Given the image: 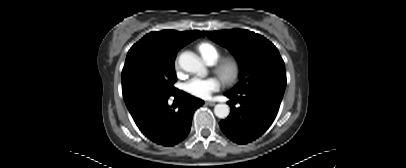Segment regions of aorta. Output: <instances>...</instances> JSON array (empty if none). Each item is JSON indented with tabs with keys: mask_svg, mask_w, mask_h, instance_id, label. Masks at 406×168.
<instances>
[{
	"mask_svg": "<svg viewBox=\"0 0 406 168\" xmlns=\"http://www.w3.org/2000/svg\"><path fill=\"white\" fill-rule=\"evenodd\" d=\"M180 67L191 73L205 75L206 68L200 58L190 51L183 52L178 59ZM214 113L218 118L225 119L230 113V108L227 104H217L214 107Z\"/></svg>",
	"mask_w": 406,
	"mask_h": 168,
	"instance_id": "aorta-1",
	"label": "aorta"
}]
</instances>
